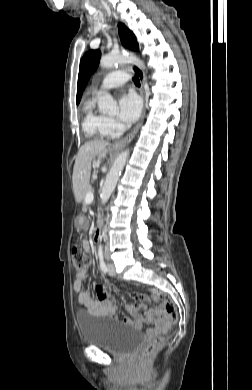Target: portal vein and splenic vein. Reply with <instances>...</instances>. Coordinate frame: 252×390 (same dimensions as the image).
<instances>
[{
  "instance_id": "portal-vein-and-splenic-vein-1",
  "label": "portal vein and splenic vein",
  "mask_w": 252,
  "mask_h": 390,
  "mask_svg": "<svg viewBox=\"0 0 252 390\" xmlns=\"http://www.w3.org/2000/svg\"><path fill=\"white\" fill-rule=\"evenodd\" d=\"M93 200H94V195H93V193L92 192H89V193H87L86 194V198H85V201H86V203H92L93 202Z\"/></svg>"
}]
</instances>
